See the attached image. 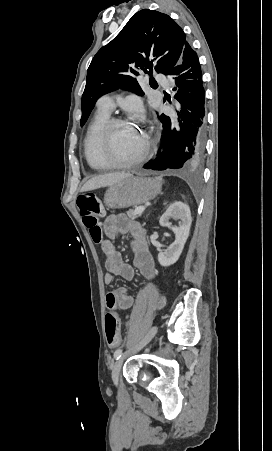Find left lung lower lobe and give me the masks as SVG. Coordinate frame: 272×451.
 I'll list each match as a JSON object with an SVG mask.
<instances>
[{"label":"left lung lower lobe","instance_id":"left-lung-lower-lobe-1","mask_svg":"<svg viewBox=\"0 0 272 451\" xmlns=\"http://www.w3.org/2000/svg\"><path fill=\"white\" fill-rule=\"evenodd\" d=\"M168 75L175 85L174 98L180 103L178 122L164 114L159 116L163 143L157 152L159 158L147 163L146 169H189L199 166L204 159L205 90L198 56L188 42Z\"/></svg>","mask_w":272,"mask_h":451}]
</instances>
